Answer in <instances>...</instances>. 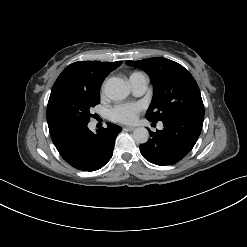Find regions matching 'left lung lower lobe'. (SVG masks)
I'll return each mask as SVG.
<instances>
[{
	"label": "left lung lower lobe",
	"mask_w": 247,
	"mask_h": 247,
	"mask_svg": "<svg viewBox=\"0 0 247 247\" xmlns=\"http://www.w3.org/2000/svg\"><path fill=\"white\" fill-rule=\"evenodd\" d=\"M162 122L164 129L150 132L151 138L139 148L147 161L160 166L172 165L191 151L201 133L203 120L172 117Z\"/></svg>",
	"instance_id": "0a47b994"
}]
</instances>
